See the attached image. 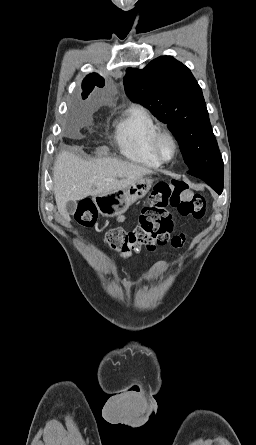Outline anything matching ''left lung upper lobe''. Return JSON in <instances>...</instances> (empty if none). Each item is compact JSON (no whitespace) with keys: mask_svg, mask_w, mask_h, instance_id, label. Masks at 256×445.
I'll return each mask as SVG.
<instances>
[{"mask_svg":"<svg viewBox=\"0 0 256 445\" xmlns=\"http://www.w3.org/2000/svg\"><path fill=\"white\" fill-rule=\"evenodd\" d=\"M124 87L133 102L168 125L189 171L223 169L202 90L189 68L172 56H161L142 70L128 68Z\"/></svg>","mask_w":256,"mask_h":445,"instance_id":"1","label":"left lung upper lobe"}]
</instances>
